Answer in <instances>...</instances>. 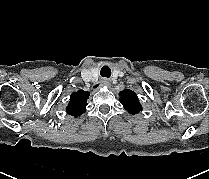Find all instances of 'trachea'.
Instances as JSON below:
<instances>
[{
    "label": "trachea",
    "instance_id": "1",
    "mask_svg": "<svg viewBox=\"0 0 209 179\" xmlns=\"http://www.w3.org/2000/svg\"><path fill=\"white\" fill-rule=\"evenodd\" d=\"M102 77L109 78L111 76V69L108 66H104L100 72Z\"/></svg>",
    "mask_w": 209,
    "mask_h": 179
}]
</instances>
